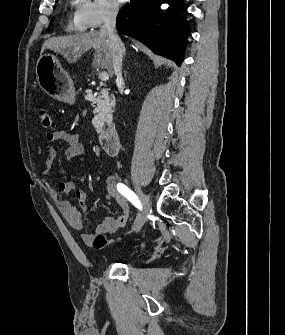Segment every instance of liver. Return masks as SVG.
Returning a JSON list of instances; mask_svg holds the SVG:
<instances>
[{"label": "liver", "instance_id": "liver-1", "mask_svg": "<svg viewBox=\"0 0 285 335\" xmlns=\"http://www.w3.org/2000/svg\"><path fill=\"white\" fill-rule=\"evenodd\" d=\"M95 50L93 66L107 70L109 76H113V52L110 48L107 36L101 32H86V34H75V36H60V38H49L43 44L44 50H53L66 58L69 64L77 62L87 50Z\"/></svg>", "mask_w": 285, "mask_h": 335}]
</instances>
